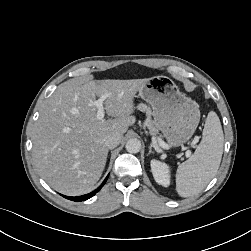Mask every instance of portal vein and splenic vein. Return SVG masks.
Returning a JSON list of instances; mask_svg holds the SVG:
<instances>
[{
	"label": "portal vein and splenic vein",
	"mask_w": 251,
	"mask_h": 251,
	"mask_svg": "<svg viewBox=\"0 0 251 251\" xmlns=\"http://www.w3.org/2000/svg\"><path fill=\"white\" fill-rule=\"evenodd\" d=\"M107 97H109V94H104L98 100L93 101V105L97 107V115H96V117L99 120H103V118H104L105 111H104L103 101ZM162 145L164 147H166L164 143H162ZM185 155H186V157H190L191 156V152L188 150V151H186Z\"/></svg>",
	"instance_id": "18ae733b"
}]
</instances>
